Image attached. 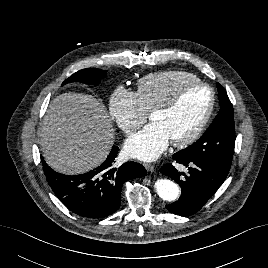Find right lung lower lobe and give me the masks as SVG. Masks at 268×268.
<instances>
[{"mask_svg":"<svg viewBox=\"0 0 268 268\" xmlns=\"http://www.w3.org/2000/svg\"><path fill=\"white\" fill-rule=\"evenodd\" d=\"M117 153L118 147L113 146L99 167L76 176L59 174L41 159L50 187L69 210L82 217L104 218L119 208L123 184L147 174L143 165L135 162L114 167Z\"/></svg>","mask_w":268,"mask_h":268,"instance_id":"98d812e1","label":"right lung lower lobe"}]
</instances>
